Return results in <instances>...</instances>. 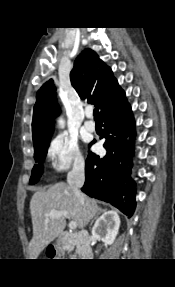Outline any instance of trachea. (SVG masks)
I'll list each match as a JSON object with an SVG mask.
<instances>
[{
	"instance_id": "3493384b",
	"label": "trachea",
	"mask_w": 175,
	"mask_h": 287,
	"mask_svg": "<svg viewBox=\"0 0 175 287\" xmlns=\"http://www.w3.org/2000/svg\"><path fill=\"white\" fill-rule=\"evenodd\" d=\"M93 115H94V119L95 120H99V111H98V109L94 110Z\"/></svg>"
}]
</instances>
